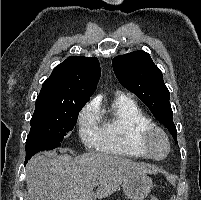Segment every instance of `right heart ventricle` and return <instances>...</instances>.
<instances>
[{"label": "right heart ventricle", "mask_w": 201, "mask_h": 200, "mask_svg": "<svg viewBox=\"0 0 201 200\" xmlns=\"http://www.w3.org/2000/svg\"><path fill=\"white\" fill-rule=\"evenodd\" d=\"M97 111L100 121L98 149L129 158H147L139 142V132L152 123L133 99L118 95L106 111Z\"/></svg>", "instance_id": "1"}]
</instances>
